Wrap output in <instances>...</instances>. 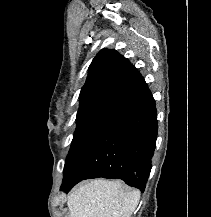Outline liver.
<instances>
[{
    "label": "liver",
    "mask_w": 211,
    "mask_h": 217,
    "mask_svg": "<svg viewBox=\"0 0 211 217\" xmlns=\"http://www.w3.org/2000/svg\"><path fill=\"white\" fill-rule=\"evenodd\" d=\"M140 191L127 189L120 181L96 179L73 190L67 205L69 217H131Z\"/></svg>",
    "instance_id": "obj_1"
}]
</instances>
